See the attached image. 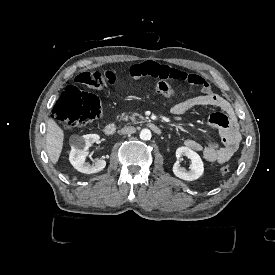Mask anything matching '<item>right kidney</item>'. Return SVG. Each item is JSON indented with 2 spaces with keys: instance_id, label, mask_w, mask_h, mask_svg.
Segmentation results:
<instances>
[{
  "instance_id": "1",
  "label": "right kidney",
  "mask_w": 275,
  "mask_h": 275,
  "mask_svg": "<svg viewBox=\"0 0 275 275\" xmlns=\"http://www.w3.org/2000/svg\"><path fill=\"white\" fill-rule=\"evenodd\" d=\"M100 136L97 134H86L83 136L73 135L70 137L71 151L69 161L72 166L79 172L92 174L103 170L106 166V161L102 159L96 160L93 165L85 162L88 154L87 150L92 143L98 142Z\"/></svg>"
}]
</instances>
